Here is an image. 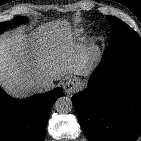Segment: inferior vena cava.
<instances>
[{
    "instance_id": "1",
    "label": "inferior vena cava",
    "mask_w": 141,
    "mask_h": 141,
    "mask_svg": "<svg viewBox=\"0 0 141 141\" xmlns=\"http://www.w3.org/2000/svg\"><path fill=\"white\" fill-rule=\"evenodd\" d=\"M54 88V83L51 78H44L35 83L34 90L37 93L47 92Z\"/></svg>"
}]
</instances>
